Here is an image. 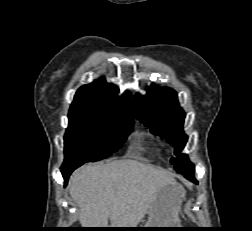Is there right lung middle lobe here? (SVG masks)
Returning <instances> with one entry per match:
<instances>
[{
    "label": "right lung middle lobe",
    "instance_id": "1",
    "mask_svg": "<svg viewBox=\"0 0 252 231\" xmlns=\"http://www.w3.org/2000/svg\"><path fill=\"white\" fill-rule=\"evenodd\" d=\"M68 119L61 170L110 156L125 142L134 123L133 118L85 111H69Z\"/></svg>",
    "mask_w": 252,
    "mask_h": 231
}]
</instances>
